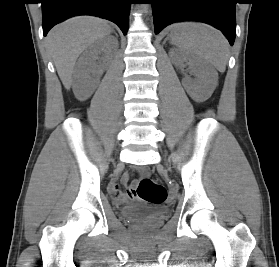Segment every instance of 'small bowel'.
<instances>
[{"instance_id": "obj_1", "label": "small bowel", "mask_w": 279, "mask_h": 267, "mask_svg": "<svg viewBox=\"0 0 279 267\" xmlns=\"http://www.w3.org/2000/svg\"><path fill=\"white\" fill-rule=\"evenodd\" d=\"M129 176L127 174H124L122 177V182L124 184L128 183ZM127 193H123L120 189V186L116 182H111L109 185V192L112 196V198L117 202H125L128 199H135L138 196L137 192V186H127Z\"/></svg>"}]
</instances>
